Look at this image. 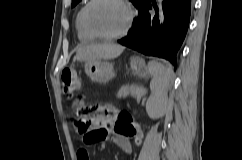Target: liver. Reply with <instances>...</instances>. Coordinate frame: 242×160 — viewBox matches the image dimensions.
I'll use <instances>...</instances> for the list:
<instances>
[{
    "mask_svg": "<svg viewBox=\"0 0 242 160\" xmlns=\"http://www.w3.org/2000/svg\"><path fill=\"white\" fill-rule=\"evenodd\" d=\"M124 47L114 43L91 44L78 49L73 61H95L117 58L124 51Z\"/></svg>",
    "mask_w": 242,
    "mask_h": 160,
    "instance_id": "6515ba94",
    "label": "liver"
}]
</instances>
